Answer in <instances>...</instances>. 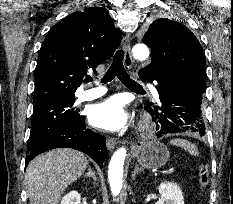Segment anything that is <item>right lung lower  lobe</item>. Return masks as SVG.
<instances>
[{"mask_svg":"<svg viewBox=\"0 0 233 204\" xmlns=\"http://www.w3.org/2000/svg\"><path fill=\"white\" fill-rule=\"evenodd\" d=\"M74 148L88 154L96 161L100 168L108 154L105 138L85 127L82 117L77 124L64 128L57 133L47 137L36 146L29 148L25 166L37 155L55 148Z\"/></svg>","mask_w":233,"mask_h":204,"instance_id":"98d812e1","label":"right lung lower lobe"}]
</instances>
